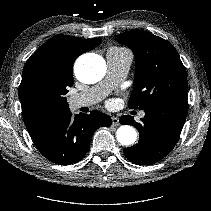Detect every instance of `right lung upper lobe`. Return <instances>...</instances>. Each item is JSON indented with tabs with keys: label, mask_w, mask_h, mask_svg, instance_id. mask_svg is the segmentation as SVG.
<instances>
[{
	"label": "right lung upper lobe",
	"mask_w": 211,
	"mask_h": 211,
	"mask_svg": "<svg viewBox=\"0 0 211 211\" xmlns=\"http://www.w3.org/2000/svg\"><path fill=\"white\" fill-rule=\"evenodd\" d=\"M101 39H81L56 35L44 43L26 62L19 87V98L25 126L29 134L44 126L51 118L69 109L63 103L46 104L37 100L30 91V82L39 73L60 83L73 85V63L81 54L95 48Z\"/></svg>",
	"instance_id": "cb5924a9"
}]
</instances>
